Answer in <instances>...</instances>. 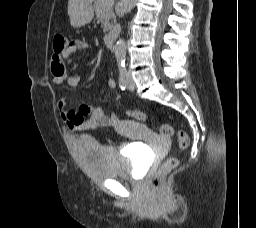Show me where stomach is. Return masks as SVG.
Listing matches in <instances>:
<instances>
[{"label": "stomach", "instance_id": "1", "mask_svg": "<svg viewBox=\"0 0 256 228\" xmlns=\"http://www.w3.org/2000/svg\"><path fill=\"white\" fill-rule=\"evenodd\" d=\"M94 12L90 5L78 9L70 16V23L73 27H81L91 22Z\"/></svg>", "mask_w": 256, "mask_h": 228}]
</instances>
